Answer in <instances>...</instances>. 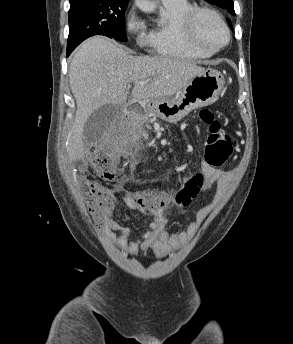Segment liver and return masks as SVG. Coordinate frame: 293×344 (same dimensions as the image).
Wrapping results in <instances>:
<instances>
[{
  "label": "liver",
  "instance_id": "1",
  "mask_svg": "<svg viewBox=\"0 0 293 344\" xmlns=\"http://www.w3.org/2000/svg\"><path fill=\"white\" fill-rule=\"evenodd\" d=\"M202 71L203 67L190 60L129 55L122 46L101 36L86 40L69 69L70 88L77 104L68 136L69 160L85 154L83 129L88 117L103 105L126 103L130 82L134 83L132 101H148L175 95ZM141 81L147 83L141 85Z\"/></svg>",
  "mask_w": 293,
  "mask_h": 344
}]
</instances>
